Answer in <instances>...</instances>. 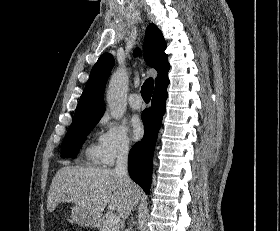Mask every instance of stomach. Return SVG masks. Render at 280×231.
<instances>
[{"label": "stomach", "mask_w": 280, "mask_h": 231, "mask_svg": "<svg viewBox=\"0 0 280 231\" xmlns=\"http://www.w3.org/2000/svg\"><path fill=\"white\" fill-rule=\"evenodd\" d=\"M70 217H72L75 223L82 225V227H96L98 225L97 219H93L89 211L84 209V207H80V205H74L72 207Z\"/></svg>", "instance_id": "obj_1"}]
</instances>
